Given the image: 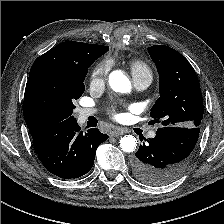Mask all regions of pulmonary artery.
<instances>
[{
  "label": "pulmonary artery",
  "instance_id": "pulmonary-artery-1",
  "mask_svg": "<svg viewBox=\"0 0 224 224\" xmlns=\"http://www.w3.org/2000/svg\"><path fill=\"white\" fill-rule=\"evenodd\" d=\"M151 83V77L142 76L134 78V86L137 91H142L146 89ZM96 113L94 109H81L78 113L77 119L78 121L84 122L89 116ZM149 138L155 137V131H150L148 134Z\"/></svg>",
  "mask_w": 224,
  "mask_h": 224
}]
</instances>
